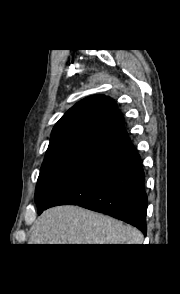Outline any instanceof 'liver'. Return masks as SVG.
<instances>
[{
  "label": "liver",
  "instance_id": "obj_1",
  "mask_svg": "<svg viewBox=\"0 0 180 294\" xmlns=\"http://www.w3.org/2000/svg\"><path fill=\"white\" fill-rule=\"evenodd\" d=\"M143 234L106 215L77 206L44 211L32 227L29 244H142Z\"/></svg>",
  "mask_w": 180,
  "mask_h": 294
}]
</instances>
